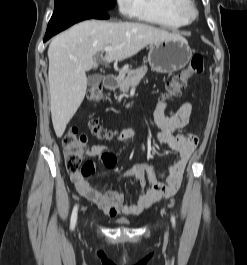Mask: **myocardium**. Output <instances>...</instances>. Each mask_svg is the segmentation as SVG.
<instances>
[{
	"label": "myocardium",
	"instance_id": "f54148a6",
	"mask_svg": "<svg viewBox=\"0 0 247 265\" xmlns=\"http://www.w3.org/2000/svg\"><path fill=\"white\" fill-rule=\"evenodd\" d=\"M177 10L179 15L188 22L194 21L199 15L198 8L192 0H182Z\"/></svg>",
	"mask_w": 247,
	"mask_h": 265
}]
</instances>
